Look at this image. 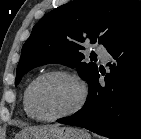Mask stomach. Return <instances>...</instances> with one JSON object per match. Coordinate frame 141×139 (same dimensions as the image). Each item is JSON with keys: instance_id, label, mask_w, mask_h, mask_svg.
<instances>
[{"instance_id": "0dacf381", "label": "stomach", "mask_w": 141, "mask_h": 139, "mask_svg": "<svg viewBox=\"0 0 141 139\" xmlns=\"http://www.w3.org/2000/svg\"><path fill=\"white\" fill-rule=\"evenodd\" d=\"M16 139H91L85 130L57 125L36 127L33 130L22 132Z\"/></svg>"}]
</instances>
